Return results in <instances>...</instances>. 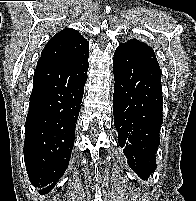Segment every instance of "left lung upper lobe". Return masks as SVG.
Wrapping results in <instances>:
<instances>
[{
  "label": "left lung upper lobe",
  "instance_id": "obj_1",
  "mask_svg": "<svg viewBox=\"0 0 196 201\" xmlns=\"http://www.w3.org/2000/svg\"><path fill=\"white\" fill-rule=\"evenodd\" d=\"M126 44L131 45L132 47L137 49L142 54L147 55V56L157 60L153 49L150 46L146 45L145 43L138 41L136 39H131V40H128L126 42Z\"/></svg>",
  "mask_w": 196,
  "mask_h": 201
}]
</instances>
